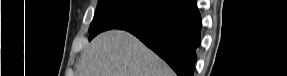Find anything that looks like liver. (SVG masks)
<instances>
[{"label":"liver","instance_id":"1","mask_svg":"<svg viewBox=\"0 0 287 76\" xmlns=\"http://www.w3.org/2000/svg\"><path fill=\"white\" fill-rule=\"evenodd\" d=\"M78 76H175L170 67L135 36L111 30L81 53Z\"/></svg>","mask_w":287,"mask_h":76}]
</instances>
